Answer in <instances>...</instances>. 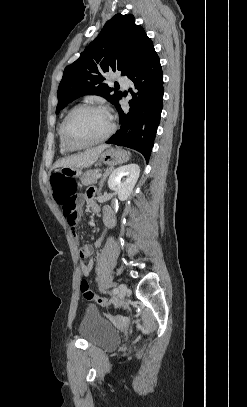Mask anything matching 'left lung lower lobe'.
Here are the masks:
<instances>
[{
	"label": "left lung lower lobe",
	"mask_w": 247,
	"mask_h": 407,
	"mask_svg": "<svg viewBox=\"0 0 247 407\" xmlns=\"http://www.w3.org/2000/svg\"><path fill=\"white\" fill-rule=\"evenodd\" d=\"M137 93H132L129 111L116 108L120 129L106 142L139 151L148 161L159 126L163 106V73L160 59L152 50L129 77Z\"/></svg>",
	"instance_id": "0a47b994"
}]
</instances>
